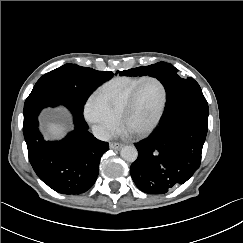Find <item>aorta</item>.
I'll return each instance as SVG.
<instances>
[{"label":"aorta","instance_id":"obj_1","mask_svg":"<svg viewBox=\"0 0 243 243\" xmlns=\"http://www.w3.org/2000/svg\"><path fill=\"white\" fill-rule=\"evenodd\" d=\"M121 157L127 162H134L138 157V151L135 146L126 145L121 149Z\"/></svg>","mask_w":243,"mask_h":243}]
</instances>
